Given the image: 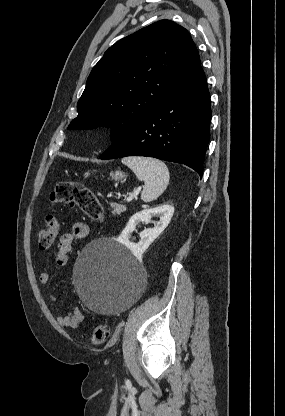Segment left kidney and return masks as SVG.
Returning a JSON list of instances; mask_svg holds the SVG:
<instances>
[{
	"instance_id": "1",
	"label": "left kidney",
	"mask_w": 285,
	"mask_h": 416,
	"mask_svg": "<svg viewBox=\"0 0 285 416\" xmlns=\"http://www.w3.org/2000/svg\"><path fill=\"white\" fill-rule=\"evenodd\" d=\"M173 214L174 208L173 206H168V204L158 206V208H150V210L137 212V214H134V216L130 218L121 236H119V242H121L123 246H126L128 250H131L134 256H138V258H140V256L146 252L147 248H149L150 244H152V242H154V240L162 234L163 230L167 228ZM152 216H160L159 222H156V228H146V230L140 232L139 236L141 240L138 244L130 242L131 234L134 232L136 224H138V222H145V224H149Z\"/></svg>"
}]
</instances>
